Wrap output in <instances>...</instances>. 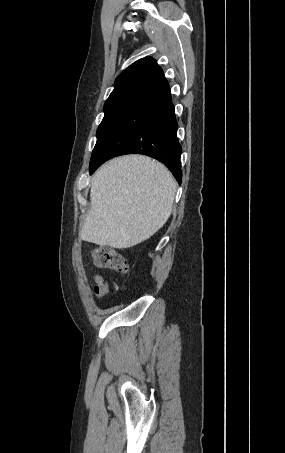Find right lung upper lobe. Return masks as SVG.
<instances>
[{
    "mask_svg": "<svg viewBox=\"0 0 285 453\" xmlns=\"http://www.w3.org/2000/svg\"><path fill=\"white\" fill-rule=\"evenodd\" d=\"M161 74H163V70L155 59L152 57L142 58L130 65L116 78L114 90L107 101L128 98L140 87Z\"/></svg>",
    "mask_w": 285,
    "mask_h": 453,
    "instance_id": "right-lung-upper-lobe-1",
    "label": "right lung upper lobe"
}]
</instances>
